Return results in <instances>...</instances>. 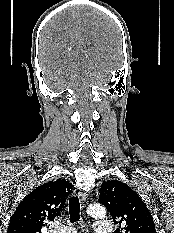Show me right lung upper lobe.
<instances>
[{
	"label": "right lung upper lobe",
	"mask_w": 174,
	"mask_h": 233,
	"mask_svg": "<svg viewBox=\"0 0 174 233\" xmlns=\"http://www.w3.org/2000/svg\"><path fill=\"white\" fill-rule=\"evenodd\" d=\"M72 187L68 181L59 180L35 188L11 216L7 233H41L47 221L59 215Z\"/></svg>",
	"instance_id": "cb5924a9"
}]
</instances>
